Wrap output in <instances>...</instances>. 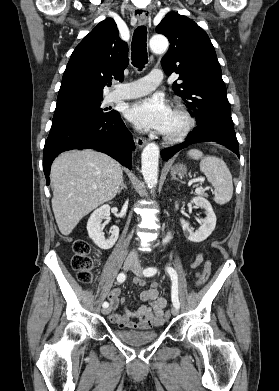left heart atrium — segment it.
<instances>
[{
  "instance_id": "1",
  "label": "left heart atrium",
  "mask_w": 279,
  "mask_h": 391,
  "mask_svg": "<svg viewBox=\"0 0 279 391\" xmlns=\"http://www.w3.org/2000/svg\"><path fill=\"white\" fill-rule=\"evenodd\" d=\"M171 109L161 96L144 98L130 104L125 111L126 118L145 129L164 133Z\"/></svg>"
}]
</instances>
